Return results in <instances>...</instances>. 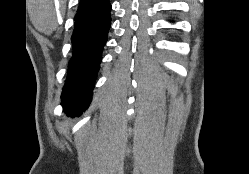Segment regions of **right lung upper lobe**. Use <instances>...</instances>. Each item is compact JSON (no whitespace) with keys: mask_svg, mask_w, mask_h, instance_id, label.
Segmentation results:
<instances>
[{"mask_svg":"<svg viewBox=\"0 0 249 174\" xmlns=\"http://www.w3.org/2000/svg\"><path fill=\"white\" fill-rule=\"evenodd\" d=\"M91 1H93V0H80V5L86 4V3L91 2Z\"/></svg>","mask_w":249,"mask_h":174,"instance_id":"1","label":"right lung upper lobe"}]
</instances>
